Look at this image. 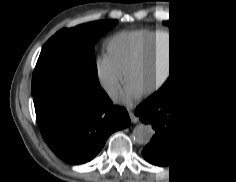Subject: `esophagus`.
<instances>
[{
    "label": "esophagus",
    "mask_w": 236,
    "mask_h": 182,
    "mask_svg": "<svg viewBox=\"0 0 236 182\" xmlns=\"http://www.w3.org/2000/svg\"><path fill=\"white\" fill-rule=\"evenodd\" d=\"M129 115H130L131 120L133 121L137 120L136 116L131 111H129Z\"/></svg>",
    "instance_id": "1"
}]
</instances>
